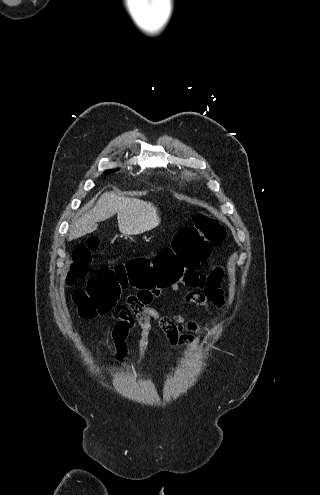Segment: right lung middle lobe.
<instances>
[{"mask_svg":"<svg viewBox=\"0 0 320 495\" xmlns=\"http://www.w3.org/2000/svg\"><path fill=\"white\" fill-rule=\"evenodd\" d=\"M112 170H107L106 172H111Z\"/></svg>","mask_w":320,"mask_h":495,"instance_id":"right-lung-middle-lobe-1","label":"right lung middle lobe"}]
</instances>
